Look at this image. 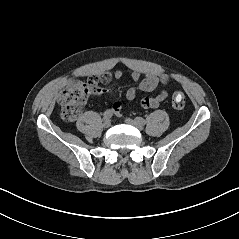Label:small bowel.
<instances>
[{
  "mask_svg": "<svg viewBox=\"0 0 239 239\" xmlns=\"http://www.w3.org/2000/svg\"><path fill=\"white\" fill-rule=\"evenodd\" d=\"M93 77H95L98 80V83L99 82L107 83L112 78L116 80H122L124 77V73L122 70H117L113 74L103 73L100 76H93ZM131 79L135 82H138V84H136L133 87H130L126 91L125 96L127 101L129 102H134L137 99V94L139 92H152V91L160 89V92L156 96L144 98L141 100L140 102L141 106L145 109L157 108L161 102L167 99L169 95L168 90L164 88L169 81V77L167 74L151 72V73L145 74L144 77L142 78V74L140 72L134 71L131 73ZM98 83L92 87L91 89L92 95L99 96V95L109 93L107 89L99 87ZM122 108H123V103L120 101H117L114 103L112 111L116 115H119Z\"/></svg>",
  "mask_w": 239,
  "mask_h": 239,
  "instance_id": "small-bowel-1",
  "label": "small bowel"
}]
</instances>
